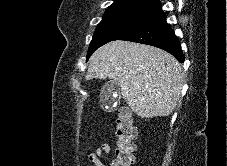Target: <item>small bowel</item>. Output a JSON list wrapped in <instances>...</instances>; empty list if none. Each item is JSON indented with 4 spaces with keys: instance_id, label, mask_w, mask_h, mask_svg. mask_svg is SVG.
<instances>
[{
    "instance_id": "1",
    "label": "small bowel",
    "mask_w": 227,
    "mask_h": 166,
    "mask_svg": "<svg viewBox=\"0 0 227 166\" xmlns=\"http://www.w3.org/2000/svg\"><path fill=\"white\" fill-rule=\"evenodd\" d=\"M110 153V146L108 144H102L95 151L88 154V161L94 166H105L104 160L107 159Z\"/></svg>"
}]
</instances>
